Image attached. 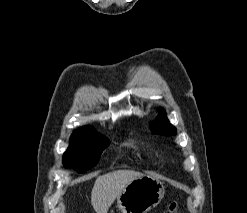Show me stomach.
Wrapping results in <instances>:
<instances>
[{
    "mask_svg": "<svg viewBox=\"0 0 247 213\" xmlns=\"http://www.w3.org/2000/svg\"><path fill=\"white\" fill-rule=\"evenodd\" d=\"M163 183L157 178L143 176L128 183L116 198L121 213H147L164 197Z\"/></svg>",
    "mask_w": 247,
    "mask_h": 213,
    "instance_id": "obj_1",
    "label": "stomach"
}]
</instances>
